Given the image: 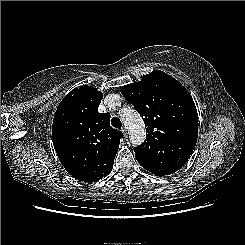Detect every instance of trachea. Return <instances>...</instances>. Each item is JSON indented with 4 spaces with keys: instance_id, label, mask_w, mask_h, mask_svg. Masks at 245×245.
<instances>
[{
    "instance_id": "trachea-1",
    "label": "trachea",
    "mask_w": 245,
    "mask_h": 245,
    "mask_svg": "<svg viewBox=\"0 0 245 245\" xmlns=\"http://www.w3.org/2000/svg\"><path fill=\"white\" fill-rule=\"evenodd\" d=\"M111 124H112L113 127L121 129L122 123H121L119 118L113 117L112 120H111Z\"/></svg>"
}]
</instances>
